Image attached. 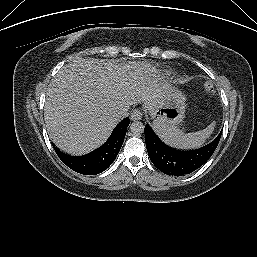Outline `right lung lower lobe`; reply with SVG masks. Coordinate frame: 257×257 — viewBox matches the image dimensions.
<instances>
[{
  "label": "right lung lower lobe",
  "mask_w": 257,
  "mask_h": 257,
  "mask_svg": "<svg viewBox=\"0 0 257 257\" xmlns=\"http://www.w3.org/2000/svg\"><path fill=\"white\" fill-rule=\"evenodd\" d=\"M129 123V118H124L102 146L82 156H70L53 147L62 162L72 170L84 175L99 174L106 170L118 155Z\"/></svg>",
  "instance_id": "98d812e1"
}]
</instances>
